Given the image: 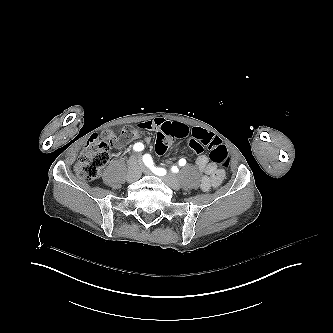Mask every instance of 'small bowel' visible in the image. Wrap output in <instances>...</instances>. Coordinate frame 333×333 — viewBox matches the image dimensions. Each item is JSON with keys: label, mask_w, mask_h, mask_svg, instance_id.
I'll list each match as a JSON object with an SVG mask.
<instances>
[{"label": "small bowel", "mask_w": 333, "mask_h": 333, "mask_svg": "<svg viewBox=\"0 0 333 333\" xmlns=\"http://www.w3.org/2000/svg\"><path fill=\"white\" fill-rule=\"evenodd\" d=\"M166 123L170 122L166 121L164 118L161 117L140 122L137 125V128L132 130L133 134L131 135V140L134 142L141 140L142 136L140 134V131H160L161 127ZM192 135L194 137L210 136L208 132L199 128L193 129ZM143 141L145 143H148L150 141V138L146 137L143 139ZM127 146L128 143H123L118 146V149L123 150ZM196 166L197 169L204 174L200 182V187L203 191H209L213 188L218 187L222 183L225 177L224 171L217 168L215 164L209 162L207 156H198V158L196 159Z\"/></svg>", "instance_id": "small-bowel-1"}]
</instances>
